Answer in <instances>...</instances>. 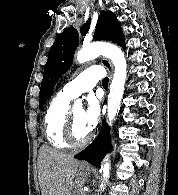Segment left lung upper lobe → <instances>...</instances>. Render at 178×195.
I'll list each match as a JSON object with an SVG mask.
<instances>
[{
  "mask_svg": "<svg viewBox=\"0 0 178 195\" xmlns=\"http://www.w3.org/2000/svg\"><path fill=\"white\" fill-rule=\"evenodd\" d=\"M91 18L80 28L82 35L89 31ZM94 39L116 42L125 48V37L122 33L120 23L111 11H102L99 15ZM79 44V33L75 28L65 29L55 40L49 50L48 60L44 67L43 80L39 93V107L51 96L58 79L72 64L75 50Z\"/></svg>",
  "mask_w": 178,
  "mask_h": 195,
  "instance_id": "obj_1",
  "label": "left lung upper lobe"
}]
</instances>
